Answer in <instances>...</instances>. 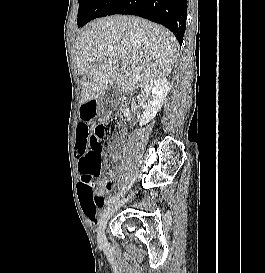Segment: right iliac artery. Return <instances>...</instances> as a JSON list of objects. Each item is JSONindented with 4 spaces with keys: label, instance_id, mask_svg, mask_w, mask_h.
<instances>
[{
    "label": "right iliac artery",
    "instance_id": "82829eb1",
    "mask_svg": "<svg viewBox=\"0 0 265 273\" xmlns=\"http://www.w3.org/2000/svg\"><path fill=\"white\" fill-rule=\"evenodd\" d=\"M135 179H136V177H134V178L131 180L130 184H129L128 186H126L125 188H123V190H122L120 193L116 194L115 196H112V197L107 201L106 205L109 206V205H111L112 203H114L115 201H117V200L120 198V196H122V194L125 193V192L131 187V185L133 184V182L135 181Z\"/></svg>",
    "mask_w": 265,
    "mask_h": 273
}]
</instances>
